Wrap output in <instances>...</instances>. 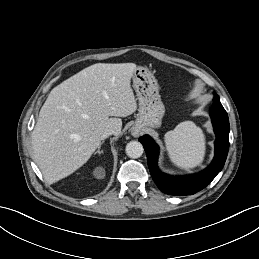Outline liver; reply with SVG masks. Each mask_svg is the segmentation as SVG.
<instances>
[{"label": "liver", "mask_w": 259, "mask_h": 259, "mask_svg": "<svg viewBox=\"0 0 259 259\" xmlns=\"http://www.w3.org/2000/svg\"><path fill=\"white\" fill-rule=\"evenodd\" d=\"M134 63L91 65L49 93L32 132L34 160L53 184L83 166L102 133L119 135L122 120L137 109L130 85Z\"/></svg>", "instance_id": "1"}]
</instances>
